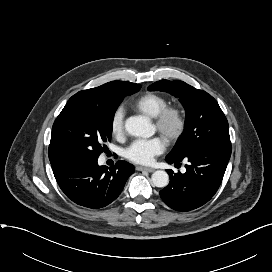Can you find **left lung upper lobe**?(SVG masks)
<instances>
[{"label": "left lung upper lobe", "mask_w": 272, "mask_h": 272, "mask_svg": "<svg viewBox=\"0 0 272 272\" xmlns=\"http://www.w3.org/2000/svg\"><path fill=\"white\" fill-rule=\"evenodd\" d=\"M148 90L166 91L178 97L186 111L184 131L167 157L181 160L202 148L231 146L228 121L207 92L179 80H161Z\"/></svg>", "instance_id": "left-lung-upper-lobe-1"}]
</instances>
